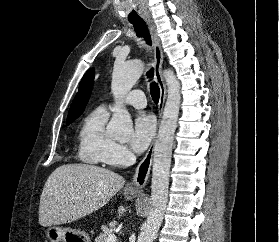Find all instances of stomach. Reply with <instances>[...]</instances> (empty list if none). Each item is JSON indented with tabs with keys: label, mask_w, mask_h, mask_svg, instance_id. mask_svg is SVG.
I'll return each instance as SVG.
<instances>
[{
	"label": "stomach",
	"mask_w": 279,
	"mask_h": 242,
	"mask_svg": "<svg viewBox=\"0 0 279 242\" xmlns=\"http://www.w3.org/2000/svg\"><path fill=\"white\" fill-rule=\"evenodd\" d=\"M135 196L133 193L127 194L128 198ZM45 234L49 242H89L88 236L83 231L56 225L48 227Z\"/></svg>",
	"instance_id": "0dacf381"
}]
</instances>
